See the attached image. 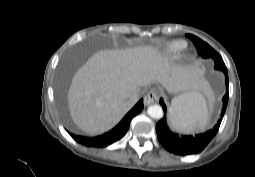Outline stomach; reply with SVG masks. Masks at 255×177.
<instances>
[{
    "mask_svg": "<svg viewBox=\"0 0 255 177\" xmlns=\"http://www.w3.org/2000/svg\"><path fill=\"white\" fill-rule=\"evenodd\" d=\"M192 93H195V92H189V93H185V94H183V95H190V94H192Z\"/></svg>",
    "mask_w": 255,
    "mask_h": 177,
    "instance_id": "stomach-1",
    "label": "stomach"
}]
</instances>
